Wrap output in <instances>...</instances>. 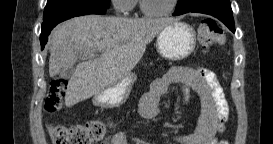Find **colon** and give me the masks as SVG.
Wrapping results in <instances>:
<instances>
[{
    "instance_id": "1",
    "label": "colon",
    "mask_w": 273,
    "mask_h": 144,
    "mask_svg": "<svg viewBox=\"0 0 273 144\" xmlns=\"http://www.w3.org/2000/svg\"><path fill=\"white\" fill-rule=\"evenodd\" d=\"M200 40L205 46H212L223 39L218 23L210 18L203 19L199 27ZM66 80H55L51 83L45 101L48 113L59 112L63 109V98L67 90ZM106 123L93 120L84 125H51L50 137L55 144H92L99 142L107 133Z\"/></svg>"
}]
</instances>
